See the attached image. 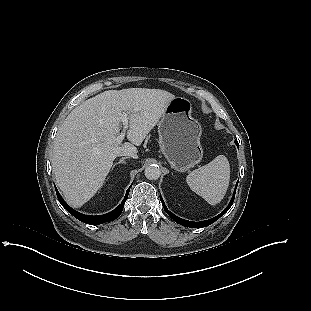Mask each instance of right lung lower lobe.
Segmentation results:
<instances>
[{
  "label": "right lung lower lobe",
  "mask_w": 311,
  "mask_h": 311,
  "mask_svg": "<svg viewBox=\"0 0 311 311\" xmlns=\"http://www.w3.org/2000/svg\"><path fill=\"white\" fill-rule=\"evenodd\" d=\"M130 187L128 188V190L126 192L122 203L116 209H114L113 211H111L107 214L98 215V216H88V215H84V214H81V213L75 211L74 209H72L71 207H69L66 204V202L63 200V198L61 197V195L57 191V189L56 188L55 189H56V193H57V197H58L59 202L69 213H71L74 217H76L78 220H80L84 223L91 224V225H97V224H103L105 222L115 220L116 218H118L120 216V214L123 211L124 204L127 200Z\"/></svg>",
  "instance_id": "obj_1"
}]
</instances>
